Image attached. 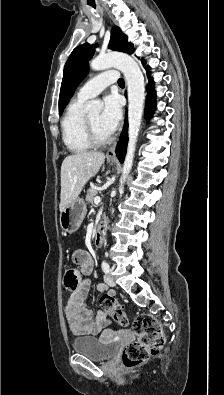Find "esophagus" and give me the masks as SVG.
Segmentation results:
<instances>
[{
  "mask_svg": "<svg viewBox=\"0 0 224 395\" xmlns=\"http://www.w3.org/2000/svg\"><path fill=\"white\" fill-rule=\"evenodd\" d=\"M115 150H116V143H114V144L109 148V150L107 151V154H106L107 159H115V157H116Z\"/></svg>",
  "mask_w": 224,
  "mask_h": 395,
  "instance_id": "obj_1",
  "label": "esophagus"
}]
</instances>
